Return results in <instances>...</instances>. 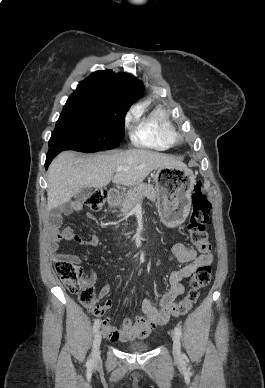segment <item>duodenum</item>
<instances>
[{"mask_svg":"<svg viewBox=\"0 0 265 388\" xmlns=\"http://www.w3.org/2000/svg\"><path fill=\"white\" fill-rule=\"evenodd\" d=\"M122 198L121 192L116 189H111L108 194V203L110 206H116Z\"/></svg>","mask_w":265,"mask_h":388,"instance_id":"410a0bca","label":"duodenum"}]
</instances>
